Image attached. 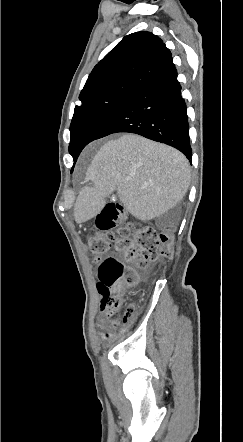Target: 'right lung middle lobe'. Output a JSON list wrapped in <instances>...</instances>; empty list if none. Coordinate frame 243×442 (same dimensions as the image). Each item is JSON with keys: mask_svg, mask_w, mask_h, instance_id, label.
<instances>
[{"mask_svg": "<svg viewBox=\"0 0 243 442\" xmlns=\"http://www.w3.org/2000/svg\"><path fill=\"white\" fill-rule=\"evenodd\" d=\"M131 92L132 90L113 91L86 100L80 106L75 107L70 125L71 141L69 145V153L74 159V164L82 149L91 142L93 135L103 121Z\"/></svg>", "mask_w": 243, "mask_h": 442, "instance_id": "1", "label": "right lung middle lobe"}]
</instances>
